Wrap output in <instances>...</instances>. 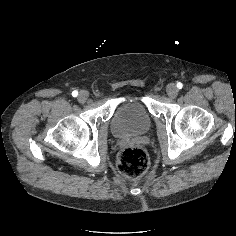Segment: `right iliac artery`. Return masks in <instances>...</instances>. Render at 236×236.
I'll return each mask as SVG.
<instances>
[{
	"instance_id": "1",
	"label": "right iliac artery",
	"mask_w": 236,
	"mask_h": 236,
	"mask_svg": "<svg viewBox=\"0 0 236 236\" xmlns=\"http://www.w3.org/2000/svg\"><path fill=\"white\" fill-rule=\"evenodd\" d=\"M77 95H78V91L74 90V91L72 92V96H73V97H77Z\"/></svg>"
}]
</instances>
